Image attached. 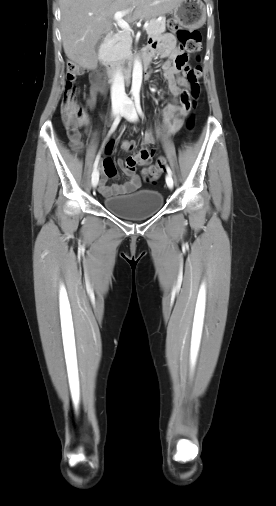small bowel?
Instances as JSON below:
<instances>
[{
	"mask_svg": "<svg viewBox=\"0 0 276 506\" xmlns=\"http://www.w3.org/2000/svg\"><path fill=\"white\" fill-rule=\"evenodd\" d=\"M149 56V63L151 60L159 56L160 58L165 59L163 64V76L168 81V91L173 95H179L181 93V89L179 87V79L182 71L186 70V59L187 56L182 47L176 46V39L173 35H165L161 42H152L145 50ZM150 74L146 76L149 78ZM90 99L88 101V105L94 103L97 99V96L103 92L104 90V82L103 79L98 76V72H93L90 75ZM185 113V108L181 106H177L175 104L169 103L164 106L162 109L163 116V126L167 130L168 135L175 134L181 127L182 117ZM84 123H89V117L84 113ZM153 132L147 131L143 141V148L141 151L148 150L146 145L153 142ZM125 146L134 147L136 145L135 142H125ZM113 149V143H109L107 145V156L104 160L99 164V169L102 172V178L99 182L100 191L106 196H112L116 194H123L127 192L134 191L140 186V178L137 172L135 171V167H129L127 165V161L124 164L122 160H118L115 164L113 159L110 156V153ZM154 153L149 155L147 158L143 160V165L148 164V162L152 159ZM117 166L123 171V173L128 177V180L122 184H107L108 178H113L117 174Z\"/></svg>",
	"mask_w": 276,
	"mask_h": 506,
	"instance_id": "small-bowel-1",
	"label": "small bowel"
}]
</instances>
